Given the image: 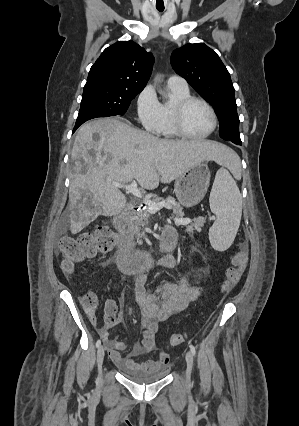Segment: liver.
I'll return each instance as SVG.
<instances>
[{
  "mask_svg": "<svg viewBox=\"0 0 299 426\" xmlns=\"http://www.w3.org/2000/svg\"><path fill=\"white\" fill-rule=\"evenodd\" d=\"M233 157V151L216 141L159 139L115 118L87 122L71 152L70 230L76 234L100 215L121 213L126 198L112 182L136 180L154 190L205 160L224 164Z\"/></svg>",
  "mask_w": 299,
  "mask_h": 426,
  "instance_id": "1",
  "label": "liver"
}]
</instances>
